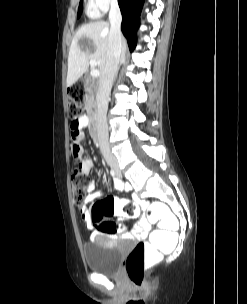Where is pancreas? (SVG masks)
<instances>
[{
    "label": "pancreas",
    "instance_id": "pancreas-1",
    "mask_svg": "<svg viewBox=\"0 0 247 304\" xmlns=\"http://www.w3.org/2000/svg\"><path fill=\"white\" fill-rule=\"evenodd\" d=\"M84 104H85V109H86L87 113L91 114L89 112V107L95 106L94 96L91 93H86V95L84 97Z\"/></svg>",
    "mask_w": 247,
    "mask_h": 304
}]
</instances>
